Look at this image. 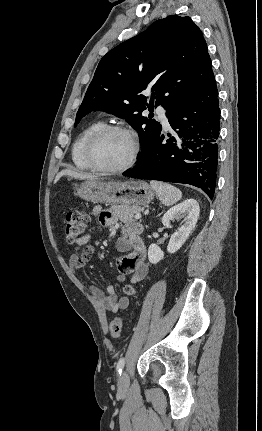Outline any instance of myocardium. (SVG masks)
<instances>
[{
  "label": "myocardium",
  "mask_w": 262,
  "mask_h": 431,
  "mask_svg": "<svg viewBox=\"0 0 262 431\" xmlns=\"http://www.w3.org/2000/svg\"><path fill=\"white\" fill-rule=\"evenodd\" d=\"M111 132H121L124 133L125 135H127L131 142H132V153L128 159V161L117 168H108L105 167L103 165H101L95 158V148L96 145L98 143V141L106 134L111 133ZM141 151V144H140V140L137 136V134L128 126L126 125H122V124H112V125H104L103 127H101L99 130H97L94 134L91 135V137L89 138L87 144H86V148H85V159L87 161V163L89 164V166L97 172L103 173V174H108V175H112V174H120L123 173L125 171H127L128 169L132 168Z\"/></svg>",
  "instance_id": "obj_1"
}]
</instances>
